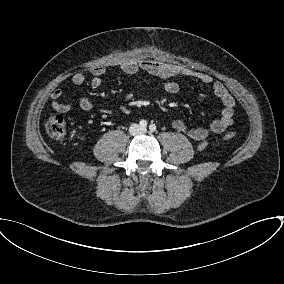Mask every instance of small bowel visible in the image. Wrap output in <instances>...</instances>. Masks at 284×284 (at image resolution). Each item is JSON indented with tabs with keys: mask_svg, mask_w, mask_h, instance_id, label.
I'll return each instance as SVG.
<instances>
[{
	"mask_svg": "<svg viewBox=\"0 0 284 284\" xmlns=\"http://www.w3.org/2000/svg\"><path fill=\"white\" fill-rule=\"evenodd\" d=\"M120 68L126 74H134L142 70L162 78L164 80L162 87L170 94L179 92L180 86L175 81V78L179 76L194 77L202 83L212 86L214 95L223 105L221 115L218 119L203 127H189L181 120L172 122L174 129L183 132L187 137L196 141L199 148H204L213 134L224 132L233 123L235 100L228 89L219 82H213V78L209 74L195 72L174 64L150 59L129 60L122 63ZM105 72L106 69L103 66H96L90 69V84L92 88H99L102 85ZM87 78L88 73L80 71L73 75L72 81L74 84L79 85L85 82ZM62 97L63 91L61 89H55L51 94L52 107L59 113H66L71 110L72 104L70 102H63ZM200 97L204 98V95ZM79 107L83 111L89 112L92 110L93 104L88 97L84 96L79 100Z\"/></svg>",
	"mask_w": 284,
	"mask_h": 284,
	"instance_id": "c3829d8e",
	"label": "small bowel"
}]
</instances>
